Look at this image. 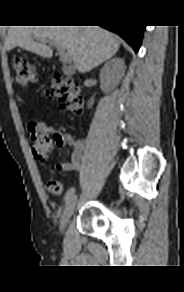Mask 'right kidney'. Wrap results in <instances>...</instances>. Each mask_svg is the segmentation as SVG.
<instances>
[{"instance_id": "obj_1", "label": "right kidney", "mask_w": 184, "mask_h": 292, "mask_svg": "<svg viewBox=\"0 0 184 292\" xmlns=\"http://www.w3.org/2000/svg\"><path fill=\"white\" fill-rule=\"evenodd\" d=\"M125 62L121 58H112L100 70L101 88L105 92L112 91L125 74Z\"/></svg>"}]
</instances>
